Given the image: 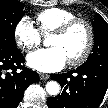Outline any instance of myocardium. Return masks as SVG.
Returning <instances> with one entry per match:
<instances>
[{"mask_svg": "<svg viewBox=\"0 0 108 108\" xmlns=\"http://www.w3.org/2000/svg\"><path fill=\"white\" fill-rule=\"evenodd\" d=\"M82 25L87 31V42L83 51L76 57L69 59L68 63L72 66L79 65L89 57L95 41V33L92 24L83 18H74L59 26L52 32V35H66L72 28Z\"/></svg>", "mask_w": 108, "mask_h": 108, "instance_id": "f54148a6", "label": "myocardium"}]
</instances>
